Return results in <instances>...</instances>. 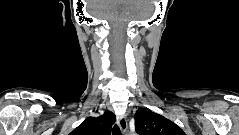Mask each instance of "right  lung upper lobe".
Here are the masks:
<instances>
[{
  "label": "right lung upper lobe",
  "instance_id": "obj_1",
  "mask_svg": "<svg viewBox=\"0 0 239 135\" xmlns=\"http://www.w3.org/2000/svg\"><path fill=\"white\" fill-rule=\"evenodd\" d=\"M115 120V115L109 110H106L104 114L99 117L86 118L69 135H110Z\"/></svg>",
  "mask_w": 239,
  "mask_h": 135
}]
</instances>
